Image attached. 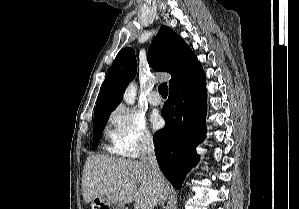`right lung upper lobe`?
<instances>
[{
    "instance_id": "1",
    "label": "right lung upper lobe",
    "mask_w": 299,
    "mask_h": 209,
    "mask_svg": "<svg viewBox=\"0 0 299 209\" xmlns=\"http://www.w3.org/2000/svg\"><path fill=\"white\" fill-rule=\"evenodd\" d=\"M151 67L171 74L169 90L183 86L204 72L191 48L171 28L162 26L148 49ZM134 50L122 49L110 67L97 99L95 114L113 111L121 102L128 83L135 77Z\"/></svg>"
}]
</instances>
